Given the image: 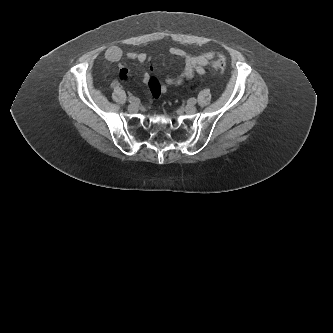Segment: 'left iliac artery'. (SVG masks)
I'll return each mask as SVG.
<instances>
[{"label": "left iliac artery", "instance_id": "44dca946", "mask_svg": "<svg viewBox=\"0 0 333 333\" xmlns=\"http://www.w3.org/2000/svg\"><path fill=\"white\" fill-rule=\"evenodd\" d=\"M188 103H189V104H196V99H195V98H190V99L188 100Z\"/></svg>", "mask_w": 333, "mask_h": 333}]
</instances>
